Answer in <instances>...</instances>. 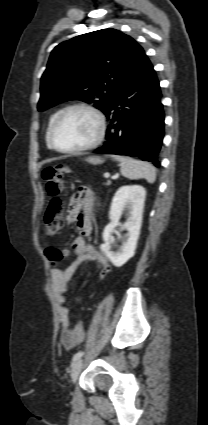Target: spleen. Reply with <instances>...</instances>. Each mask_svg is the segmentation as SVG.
Returning <instances> with one entry per match:
<instances>
[{"label": "spleen", "instance_id": "spleen-1", "mask_svg": "<svg viewBox=\"0 0 208 425\" xmlns=\"http://www.w3.org/2000/svg\"><path fill=\"white\" fill-rule=\"evenodd\" d=\"M113 158L121 163V174L124 177L128 179L144 178L151 184L155 182L156 169L150 163L118 155H114Z\"/></svg>", "mask_w": 208, "mask_h": 425}]
</instances>
